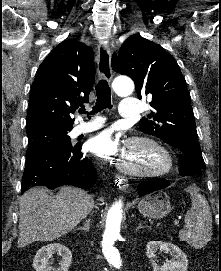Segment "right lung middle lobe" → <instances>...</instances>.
I'll return each mask as SVG.
<instances>
[{
    "label": "right lung middle lobe",
    "mask_w": 221,
    "mask_h": 271,
    "mask_svg": "<svg viewBox=\"0 0 221 271\" xmlns=\"http://www.w3.org/2000/svg\"><path fill=\"white\" fill-rule=\"evenodd\" d=\"M72 126H42L27 130L28 149L26 158L49 150H64L73 147L70 137L67 135Z\"/></svg>",
    "instance_id": "obj_1"
}]
</instances>
